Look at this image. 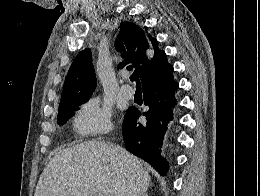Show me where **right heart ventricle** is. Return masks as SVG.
<instances>
[{"label":"right heart ventricle","mask_w":260,"mask_h":196,"mask_svg":"<svg viewBox=\"0 0 260 196\" xmlns=\"http://www.w3.org/2000/svg\"><path fill=\"white\" fill-rule=\"evenodd\" d=\"M86 190H65V192H85Z\"/></svg>","instance_id":"1"}]
</instances>
